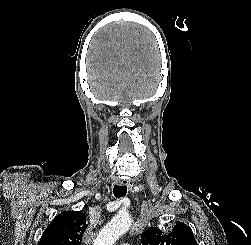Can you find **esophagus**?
Here are the masks:
<instances>
[{
	"mask_svg": "<svg viewBox=\"0 0 251 245\" xmlns=\"http://www.w3.org/2000/svg\"><path fill=\"white\" fill-rule=\"evenodd\" d=\"M119 185L127 186L128 188L131 189L133 187V182L130 180H121V181H119Z\"/></svg>",
	"mask_w": 251,
	"mask_h": 245,
	"instance_id": "1",
	"label": "esophagus"
}]
</instances>
